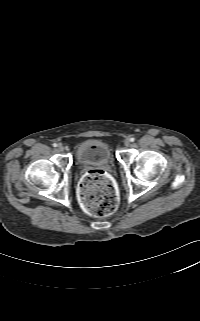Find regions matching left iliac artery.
I'll return each mask as SVG.
<instances>
[{"mask_svg": "<svg viewBox=\"0 0 200 321\" xmlns=\"http://www.w3.org/2000/svg\"><path fill=\"white\" fill-rule=\"evenodd\" d=\"M130 141H131V142H134V141H135V138H133V137L130 138Z\"/></svg>", "mask_w": 200, "mask_h": 321, "instance_id": "obj_1", "label": "left iliac artery"}]
</instances>
